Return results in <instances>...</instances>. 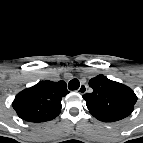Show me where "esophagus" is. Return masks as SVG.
Wrapping results in <instances>:
<instances>
[{
  "label": "esophagus",
  "mask_w": 143,
  "mask_h": 143,
  "mask_svg": "<svg viewBox=\"0 0 143 143\" xmlns=\"http://www.w3.org/2000/svg\"><path fill=\"white\" fill-rule=\"evenodd\" d=\"M77 91H78L80 94L86 93V91H87V86H86V84L82 83V84L80 85V87L78 88Z\"/></svg>",
  "instance_id": "obj_1"
}]
</instances>
